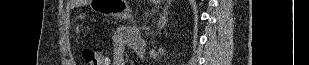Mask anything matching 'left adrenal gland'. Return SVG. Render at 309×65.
Listing matches in <instances>:
<instances>
[{
    "mask_svg": "<svg viewBox=\"0 0 309 65\" xmlns=\"http://www.w3.org/2000/svg\"><path fill=\"white\" fill-rule=\"evenodd\" d=\"M167 23V13L163 14L159 22L156 25V32L160 31Z\"/></svg>",
    "mask_w": 309,
    "mask_h": 65,
    "instance_id": "left-adrenal-gland-1",
    "label": "left adrenal gland"
}]
</instances>
